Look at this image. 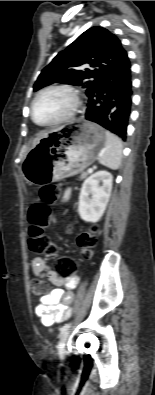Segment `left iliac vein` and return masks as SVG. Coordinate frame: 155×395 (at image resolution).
Returning a JSON list of instances; mask_svg holds the SVG:
<instances>
[{"instance_id":"obj_1","label":"left iliac vein","mask_w":155,"mask_h":395,"mask_svg":"<svg viewBox=\"0 0 155 395\" xmlns=\"http://www.w3.org/2000/svg\"><path fill=\"white\" fill-rule=\"evenodd\" d=\"M69 334H70V331L67 330L66 332H64V333L61 335V338H60V341H59V344H58V351H59V355H60V356H63L64 348H65V345H66V343H67Z\"/></svg>"}]
</instances>
